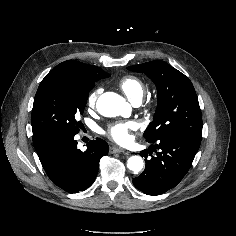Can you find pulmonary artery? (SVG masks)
<instances>
[{
	"mask_svg": "<svg viewBox=\"0 0 236 236\" xmlns=\"http://www.w3.org/2000/svg\"><path fill=\"white\" fill-rule=\"evenodd\" d=\"M135 105H139V101H135V102H133Z\"/></svg>",
	"mask_w": 236,
	"mask_h": 236,
	"instance_id": "obj_1",
	"label": "pulmonary artery"
}]
</instances>
